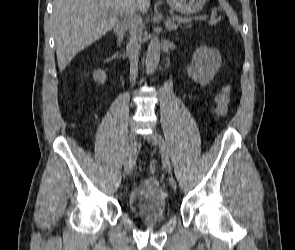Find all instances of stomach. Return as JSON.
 Returning <instances> with one entry per match:
<instances>
[{"mask_svg": "<svg viewBox=\"0 0 295 250\" xmlns=\"http://www.w3.org/2000/svg\"><path fill=\"white\" fill-rule=\"evenodd\" d=\"M167 3L175 11L191 15L202 10L206 0H167Z\"/></svg>", "mask_w": 295, "mask_h": 250, "instance_id": "obj_1", "label": "stomach"}]
</instances>
